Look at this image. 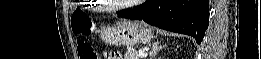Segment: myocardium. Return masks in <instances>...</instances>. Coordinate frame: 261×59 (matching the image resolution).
<instances>
[{"label":"myocardium","instance_id":"obj_1","mask_svg":"<svg viewBox=\"0 0 261 59\" xmlns=\"http://www.w3.org/2000/svg\"><path fill=\"white\" fill-rule=\"evenodd\" d=\"M98 3L107 11H119L130 6L129 4L113 5L107 2L106 0H99Z\"/></svg>","mask_w":261,"mask_h":59}]
</instances>
